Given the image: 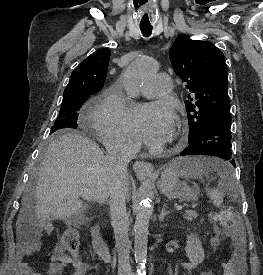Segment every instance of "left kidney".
Returning a JSON list of instances; mask_svg holds the SVG:
<instances>
[{
    "label": "left kidney",
    "mask_w": 263,
    "mask_h": 275,
    "mask_svg": "<svg viewBox=\"0 0 263 275\" xmlns=\"http://www.w3.org/2000/svg\"><path fill=\"white\" fill-rule=\"evenodd\" d=\"M185 251L190 262L183 263L182 266L187 270L196 268L205 258L202 243L196 235L187 236Z\"/></svg>",
    "instance_id": "5707ae66"
}]
</instances>
